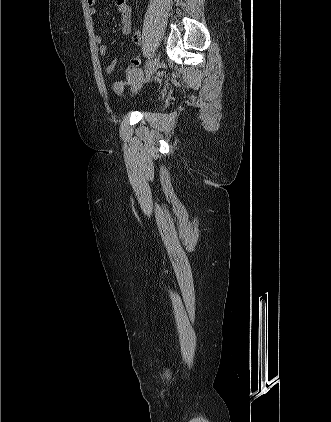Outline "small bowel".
Returning a JSON list of instances; mask_svg holds the SVG:
<instances>
[{
    "label": "small bowel",
    "instance_id": "small-bowel-1",
    "mask_svg": "<svg viewBox=\"0 0 331 422\" xmlns=\"http://www.w3.org/2000/svg\"><path fill=\"white\" fill-rule=\"evenodd\" d=\"M88 6H89V14L91 16H95L98 12L97 6H96V0H87ZM115 5L118 10V12L121 15V22H122V33L124 35H129L132 31L131 28V16L132 11L130 6L127 3V0H115ZM95 41L98 45V52L101 56H105L108 50L107 44L103 41V38L100 35L95 36ZM132 42L135 46H139L141 44V35L140 33L136 32L132 37ZM131 65L133 67L138 66L141 63L140 56H134L130 60ZM117 65V60L114 59L111 62L107 64L105 67L106 73H111ZM142 79L141 77H137L133 74H128L124 80L121 81H115L112 84V90L117 93L121 94L125 91V89L128 86H132L133 88H136L139 84H141Z\"/></svg>",
    "mask_w": 331,
    "mask_h": 422
}]
</instances>
